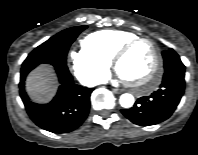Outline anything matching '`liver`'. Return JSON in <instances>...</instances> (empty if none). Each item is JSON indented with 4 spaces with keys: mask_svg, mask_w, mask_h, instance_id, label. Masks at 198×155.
Masks as SVG:
<instances>
[{
    "mask_svg": "<svg viewBox=\"0 0 198 155\" xmlns=\"http://www.w3.org/2000/svg\"><path fill=\"white\" fill-rule=\"evenodd\" d=\"M29 96L39 103L48 102L56 92V78L48 66H40L29 74L26 79Z\"/></svg>",
    "mask_w": 198,
    "mask_h": 155,
    "instance_id": "liver-1",
    "label": "liver"
}]
</instances>
